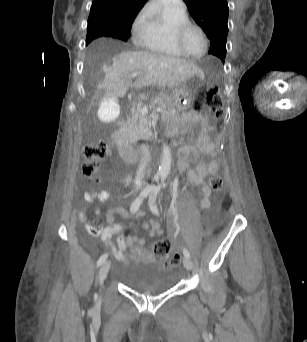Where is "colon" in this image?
Listing matches in <instances>:
<instances>
[{"mask_svg":"<svg viewBox=\"0 0 307 342\" xmlns=\"http://www.w3.org/2000/svg\"><path fill=\"white\" fill-rule=\"evenodd\" d=\"M202 92L205 94L202 102L199 103L200 109L205 111L210 117L217 118L222 114L221 97L222 87H204ZM109 144L105 141L97 143H88L83 147L84 162L81 166V173L85 178L95 183L100 182L99 161L108 155ZM209 186L214 193L220 194L223 191V178L219 174H212L209 177ZM172 250V244L169 239L163 238L153 245V252L159 257H167ZM182 256L174 254L171 260L164 263L163 268L169 271L176 264L181 262Z\"/></svg>","mask_w":307,"mask_h":342,"instance_id":"1","label":"colon"}]
</instances>
